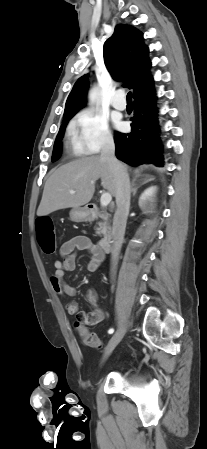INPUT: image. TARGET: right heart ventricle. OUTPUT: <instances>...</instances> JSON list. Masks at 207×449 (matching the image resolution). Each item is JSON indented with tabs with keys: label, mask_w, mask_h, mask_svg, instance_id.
<instances>
[{
	"label": "right heart ventricle",
	"mask_w": 207,
	"mask_h": 449,
	"mask_svg": "<svg viewBox=\"0 0 207 449\" xmlns=\"http://www.w3.org/2000/svg\"><path fill=\"white\" fill-rule=\"evenodd\" d=\"M67 149L71 154L75 156H80L85 153L84 150L81 148L80 144L78 143V140L72 127H70L68 132Z\"/></svg>",
	"instance_id": "right-heart-ventricle-1"
}]
</instances>
